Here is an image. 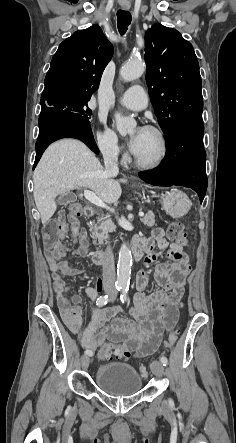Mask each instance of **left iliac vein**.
<instances>
[{"instance_id": "left-iliac-vein-1", "label": "left iliac vein", "mask_w": 236, "mask_h": 443, "mask_svg": "<svg viewBox=\"0 0 236 443\" xmlns=\"http://www.w3.org/2000/svg\"><path fill=\"white\" fill-rule=\"evenodd\" d=\"M150 368L151 371L153 372L154 375H156L157 377H162L164 374V367L163 364L157 361H154L150 364Z\"/></svg>"}]
</instances>
